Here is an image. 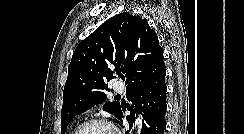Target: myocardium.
I'll list each match as a JSON object with an SVG mask.
<instances>
[{
  "label": "myocardium",
  "instance_id": "1",
  "mask_svg": "<svg viewBox=\"0 0 244 134\" xmlns=\"http://www.w3.org/2000/svg\"><path fill=\"white\" fill-rule=\"evenodd\" d=\"M93 125H101L108 128L112 134H118L116 128L105 119L93 118L81 123L74 131L73 134H81L83 130Z\"/></svg>",
  "mask_w": 244,
  "mask_h": 134
}]
</instances>
